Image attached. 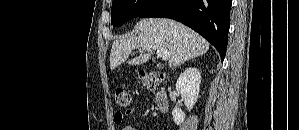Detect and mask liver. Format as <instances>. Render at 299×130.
Listing matches in <instances>:
<instances>
[{"label":"liver","instance_id":"obj_1","mask_svg":"<svg viewBox=\"0 0 299 130\" xmlns=\"http://www.w3.org/2000/svg\"><path fill=\"white\" fill-rule=\"evenodd\" d=\"M209 46L202 36L179 22L166 18L143 19L136 24L133 34L113 42L110 68L114 70L125 62L132 50L147 52L129 62L130 65H140L151 58L153 51L162 48L170 52L169 67H176L205 54Z\"/></svg>","mask_w":299,"mask_h":130}]
</instances>
